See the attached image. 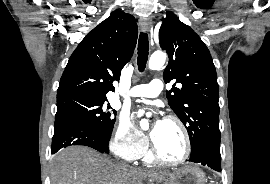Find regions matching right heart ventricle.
I'll list each match as a JSON object with an SVG mask.
<instances>
[{
	"mask_svg": "<svg viewBox=\"0 0 270 184\" xmlns=\"http://www.w3.org/2000/svg\"><path fill=\"white\" fill-rule=\"evenodd\" d=\"M140 158H142L146 162H152L154 160L151 152L147 150L143 153V155Z\"/></svg>",
	"mask_w": 270,
	"mask_h": 184,
	"instance_id": "right-heart-ventricle-1",
	"label": "right heart ventricle"
}]
</instances>
